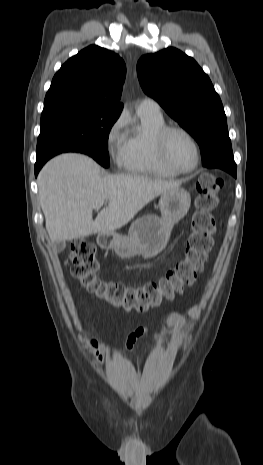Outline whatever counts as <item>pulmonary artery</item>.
Here are the masks:
<instances>
[{
    "label": "pulmonary artery",
    "instance_id": "1",
    "mask_svg": "<svg viewBox=\"0 0 263 465\" xmlns=\"http://www.w3.org/2000/svg\"><path fill=\"white\" fill-rule=\"evenodd\" d=\"M137 112L160 115L161 107L154 99L143 98L137 105Z\"/></svg>",
    "mask_w": 263,
    "mask_h": 465
}]
</instances>
